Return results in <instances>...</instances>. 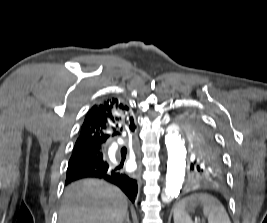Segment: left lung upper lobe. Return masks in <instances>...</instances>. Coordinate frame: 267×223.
<instances>
[{
    "label": "left lung upper lobe",
    "instance_id": "5c2ea615",
    "mask_svg": "<svg viewBox=\"0 0 267 223\" xmlns=\"http://www.w3.org/2000/svg\"><path fill=\"white\" fill-rule=\"evenodd\" d=\"M192 152L194 171H225L217 142L204 122L193 115H185L180 124Z\"/></svg>",
    "mask_w": 267,
    "mask_h": 223
}]
</instances>
